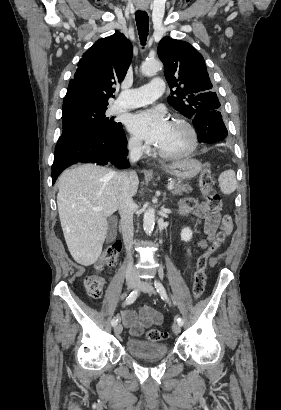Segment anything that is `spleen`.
<instances>
[{
    "mask_svg": "<svg viewBox=\"0 0 281 410\" xmlns=\"http://www.w3.org/2000/svg\"><path fill=\"white\" fill-rule=\"evenodd\" d=\"M219 187L223 194H231L236 190L237 181L233 170H226L218 177Z\"/></svg>",
    "mask_w": 281,
    "mask_h": 410,
    "instance_id": "3e777b00",
    "label": "spleen"
}]
</instances>
